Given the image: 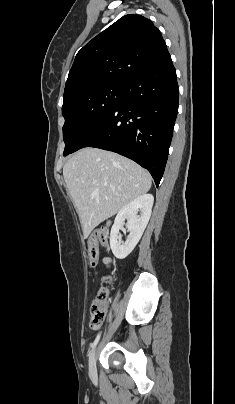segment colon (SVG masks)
<instances>
[{"label":"colon","mask_w":235,"mask_h":404,"mask_svg":"<svg viewBox=\"0 0 235 404\" xmlns=\"http://www.w3.org/2000/svg\"><path fill=\"white\" fill-rule=\"evenodd\" d=\"M109 244V234L105 229H99L94 231L89 239L87 244V254L89 262L92 266H95L98 263L99 259V250L98 247L108 246ZM109 300V291L106 288H102L96 297V300L91 305L90 308V327L92 329H99L104 322L106 312H107V303Z\"/></svg>","instance_id":"5ec220e1"}]
</instances>
